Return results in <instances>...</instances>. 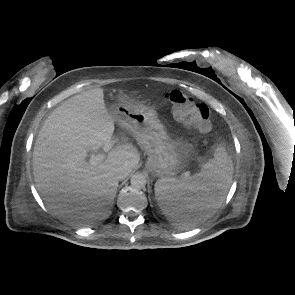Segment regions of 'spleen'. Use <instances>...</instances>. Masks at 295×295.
<instances>
[{"mask_svg": "<svg viewBox=\"0 0 295 295\" xmlns=\"http://www.w3.org/2000/svg\"><path fill=\"white\" fill-rule=\"evenodd\" d=\"M233 173V164L223 146H218L214 158L192 177H163L155 183L158 203L166 208L165 215L180 227H191L209 213L196 214L203 208H216L226 194Z\"/></svg>", "mask_w": 295, "mask_h": 295, "instance_id": "obj_1", "label": "spleen"}]
</instances>
